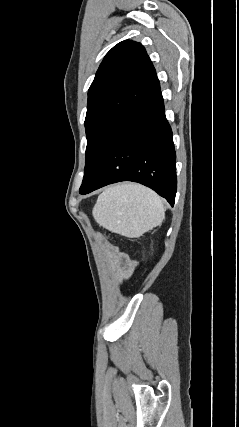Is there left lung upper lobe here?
Segmentation results:
<instances>
[{
    "label": "left lung upper lobe",
    "mask_w": 239,
    "mask_h": 427,
    "mask_svg": "<svg viewBox=\"0 0 239 427\" xmlns=\"http://www.w3.org/2000/svg\"><path fill=\"white\" fill-rule=\"evenodd\" d=\"M159 90L153 64L140 43L126 40L106 54L88 91L86 166L79 192L118 130Z\"/></svg>",
    "instance_id": "5c2ea615"
}]
</instances>
